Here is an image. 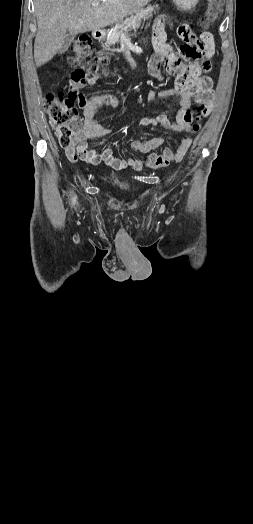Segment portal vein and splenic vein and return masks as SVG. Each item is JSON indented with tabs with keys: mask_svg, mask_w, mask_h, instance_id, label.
<instances>
[{
	"mask_svg": "<svg viewBox=\"0 0 253 524\" xmlns=\"http://www.w3.org/2000/svg\"><path fill=\"white\" fill-rule=\"evenodd\" d=\"M92 6H93V7H97V6H98V3H92Z\"/></svg>",
	"mask_w": 253,
	"mask_h": 524,
	"instance_id": "18ae733b",
	"label": "portal vein and splenic vein"
}]
</instances>
